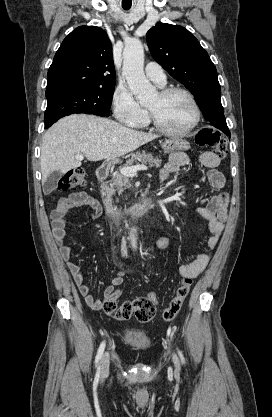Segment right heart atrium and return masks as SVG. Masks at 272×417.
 Wrapping results in <instances>:
<instances>
[{
  "instance_id": "1",
  "label": "right heart atrium",
  "mask_w": 272,
  "mask_h": 417,
  "mask_svg": "<svg viewBox=\"0 0 272 417\" xmlns=\"http://www.w3.org/2000/svg\"><path fill=\"white\" fill-rule=\"evenodd\" d=\"M111 104L115 118L127 126L135 127L146 117V111L125 85L115 88Z\"/></svg>"
}]
</instances>
